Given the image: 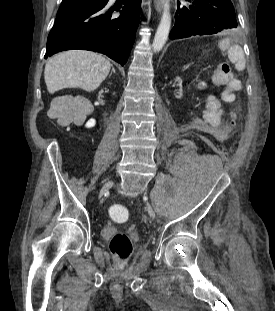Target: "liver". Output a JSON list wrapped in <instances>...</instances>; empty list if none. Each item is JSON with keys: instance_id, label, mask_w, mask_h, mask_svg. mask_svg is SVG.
I'll use <instances>...</instances> for the list:
<instances>
[{"instance_id": "liver-1", "label": "liver", "mask_w": 275, "mask_h": 311, "mask_svg": "<svg viewBox=\"0 0 275 311\" xmlns=\"http://www.w3.org/2000/svg\"><path fill=\"white\" fill-rule=\"evenodd\" d=\"M111 64L102 55L84 50H70L50 58L44 79L50 94L64 88L91 92L108 76Z\"/></svg>"}]
</instances>
